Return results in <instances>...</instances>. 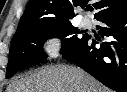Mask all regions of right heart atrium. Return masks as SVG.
<instances>
[{
    "label": "right heart atrium",
    "mask_w": 127,
    "mask_h": 92,
    "mask_svg": "<svg viewBox=\"0 0 127 92\" xmlns=\"http://www.w3.org/2000/svg\"><path fill=\"white\" fill-rule=\"evenodd\" d=\"M64 39L60 33L52 32L47 34L41 43V56L45 62L57 59L63 50Z\"/></svg>",
    "instance_id": "obj_1"
}]
</instances>
